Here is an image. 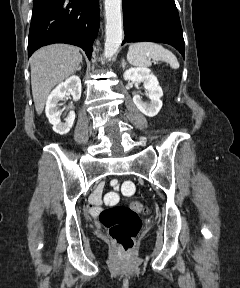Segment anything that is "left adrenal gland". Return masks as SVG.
Wrapping results in <instances>:
<instances>
[{
  "mask_svg": "<svg viewBox=\"0 0 240 288\" xmlns=\"http://www.w3.org/2000/svg\"><path fill=\"white\" fill-rule=\"evenodd\" d=\"M121 65H122V67H125V65H126V62H125V60H124V59H122Z\"/></svg>",
  "mask_w": 240,
  "mask_h": 288,
  "instance_id": "a2214340",
  "label": "left adrenal gland"
}]
</instances>
